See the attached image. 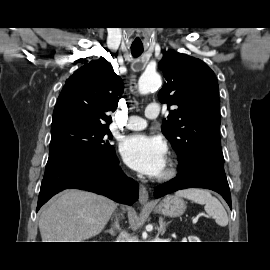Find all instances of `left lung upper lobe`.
Listing matches in <instances>:
<instances>
[{"label":"left lung upper lobe","mask_w":270,"mask_h":270,"mask_svg":"<svg viewBox=\"0 0 270 270\" xmlns=\"http://www.w3.org/2000/svg\"><path fill=\"white\" fill-rule=\"evenodd\" d=\"M166 82L158 98L176 109L163 120L162 132L179 162L194 153L223 155L221 150L219 86L214 72L201 60L173 51L159 62Z\"/></svg>","instance_id":"1"}]
</instances>
